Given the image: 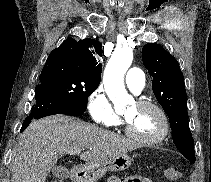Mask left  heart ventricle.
<instances>
[{
	"mask_svg": "<svg viewBox=\"0 0 211 182\" xmlns=\"http://www.w3.org/2000/svg\"><path fill=\"white\" fill-rule=\"evenodd\" d=\"M124 117L132 131L141 138H153L162 129V120L152 108L138 107L135 103L124 113Z\"/></svg>",
	"mask_w": 211,
	"mask_h": 182,
	"instance_id": "b2bd125f",
	"label": "left heart ventricle"
}]
</instances>
